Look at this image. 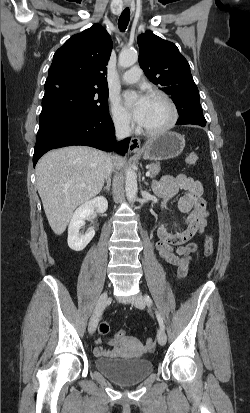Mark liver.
<instances>
[{"label": "liver", "instance_id": "6515ba94", "mask_svg": "<svg viewBox=\"0 0 250 413\" xmlns=\"http://www.w3.org/2000/svg\"><path fill=\"white\" fill-rule=\"evenodd\" d=\"M108 155L87 146H68L46 153L36 165V184L53 232L61 235L80 204L102 190ZM124 158L116 157L120 169Z\"/></svg>", "mask_w": 250, "mask_h": 413}]
</instances>
